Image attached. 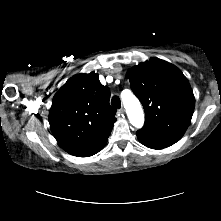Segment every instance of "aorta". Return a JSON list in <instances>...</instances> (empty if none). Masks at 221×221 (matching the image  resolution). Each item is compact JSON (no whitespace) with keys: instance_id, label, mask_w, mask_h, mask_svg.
I'll use <instances>...</instances> for the list:
<instances>
[{"instance_id":"obj_1","label":"aorta","mask_w":221,"mask_h":221,"mask_svg":"<svg viewBox=\"0 0 221 221\" xmlns=\"http://www.w3.org/2000/svg\"><path fill=\"white\" fill-rule=\"evenodd\" d=\"M124 107L128 119L136 128H141L144 124V113L139 100L132 94L123 98Z\"/></svg>"}]
</instances>
